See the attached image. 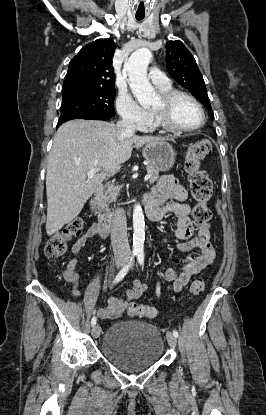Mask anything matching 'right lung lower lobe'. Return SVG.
Wrapping results in <instances>:
<instances>
[{"label": "right lung lower lobe", "mask_w": 266, "mask_h": 415, "mask_svg": "<svg viewBox=\"0 0 266 415\" xmlns=\"http://www.w3.org/2000/svg\"><path fill=\"white\" fill-rule=\"evenodd\" d=\"M88 119V120H109L110 117L103 116V115H87V114H77V113H68V114H62L60 116V119L57 123V128L63 124L66 121L72 120V119Z\"/></svg>", "instance_id": "1"}]
</instances>
